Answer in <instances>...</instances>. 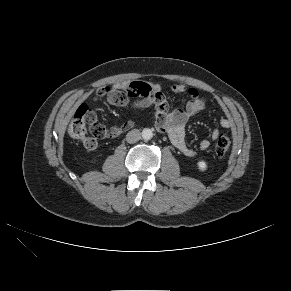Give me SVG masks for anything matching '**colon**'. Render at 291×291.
Instances as JSON below:
<instances>
[{"instance_id":"1","label":"colon","mask_w":291,"mask_h":291,"mask_svg":"<svg viewBox=\"0 0 291 291\" xmlns=\"http://www.w3.org/2000/svg\"><path fill=\"white\" fill-rule=\"evenodd\" d=\"M131 122H126L118 127H105L97 122L95 113L85 104L78 107L69 125V135L84 144L92 146V140L96 138H110L119 135L131 127ZM89 134L91 136H89ZM231 145L230 136L220 133L214 145V153L218 157L224 156Z\"/></svg>"}]
</instances>
